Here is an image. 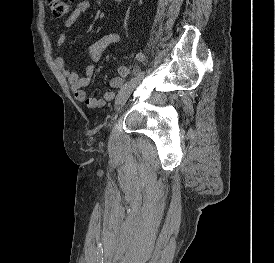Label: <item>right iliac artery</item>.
<instances>
[{
	"instance_id": "obj_1",
	"label": "right iliac artery",
	"mask_w": 275,
	"mask_h": 263,
	"mask_svg": "<svg viewBox=\"0 0 275 263\" xmlns=\"http://www.w3.org/2000/svg\"><path fill=\"white\" fill-rule=\"evenodd\" d=\"M136 59H137L138 61H143V60L145 59V56H144L143 53H138V54L136 55Z\"/></svg>"
}]
</instances>
